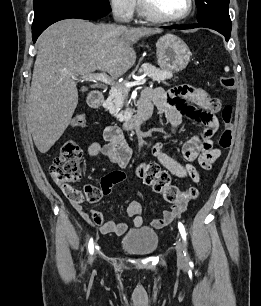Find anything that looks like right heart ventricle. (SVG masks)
I'll list each match as a JSON object with an SVG mask.
<instances>
[{
	"mask_svg": "<svg viewBox=\"0 0 261 306\" xmlns=\"http://www.w3.org/2000/svg\"><path fill=\"white\" fill-rule=\"evenodd\" d=\"M138 12H139V15H140V16L146 17V16L141 12L140 8L138 9Z\"/></svg>",
	"mask_w": 261,
	"mask_h": 306,
	"instance_id": "e07e8e85",
	"label": "right heart ventricle"
}]
</instances>
